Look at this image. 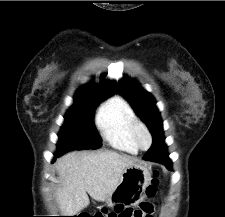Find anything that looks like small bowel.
<instances>
[{
    "mask_svg": "<svg viewBox=\"0 0 225 217\" xmlns=\"http://www.w3.org/2000/svg\"><path fill=\"white\" fill-rule=\"evenodd\" d=\"M114 211V217H152L154 207L139 190H130L120 196Z\"/></svg>",
    "mask_w": 225,
    "mask_h": 217,
    "instance_id": "obj_1",
    "label": "small bowel"
}]
</instances>
